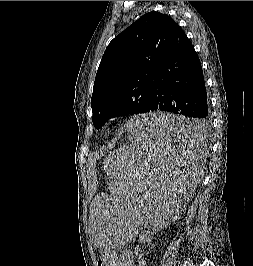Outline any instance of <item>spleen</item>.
I'll return each mask as SVG.
<instances>
[{
	"label": "spleen",
	"mask_w": 253,
	"mask_h": 266,
	"mask_svg": "<svg viewBox=\"0 0 253 266\" xmlns=\"http://www.w3.org/2000/svg\"><path fill=\"white\" fill-rule=\"evenodd\" d=\"M178 111H147L129 117L117 153H111V207H92L93 246L134 248L139 229H165L191 203L188 192L202 175L205 123ZM140 210H144L141 215Z\"/></svg>",
	"instance_id": "3e777b00"
}]
</instances>
